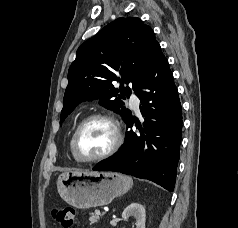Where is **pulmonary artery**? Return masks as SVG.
Wrapping results in <instances>:
<instances>
[{
	"label": "pulmonary artery",
	"instance_id": "1",
	"mask_svg": "<svg viewBox=\"0 0 238 228\" xmlns=\"http://www.w3.org/2000/svg\"><path fill=\"white\" fill-rule=\"evenodd\" d=\"M131 106L135 111L139 110V99L137 97H131Z\"/></svg>",
	"mask_w": 238,
	"mask_h": 228
}]
</instances>
